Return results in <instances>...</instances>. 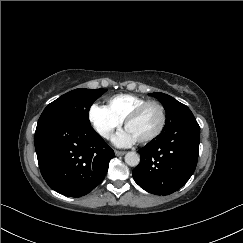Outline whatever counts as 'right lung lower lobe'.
<instances>
[{"instance_id": "obj_1", "label": "right lung lower lobe", "mask_w": 243, "mask_h": 243, "mask_svg": "<svg viewBox=\"0 0 243 243\" xmlns=\"http://www.w3.org/2000/svg\"><path fill=\"white\" fill-rule=\"evenodd\" d=\"M35 149L47 184L71 197L86 195L100 184L114 157L91 126L64 120L37 125Z\"/></svg>"}]
</instances>
